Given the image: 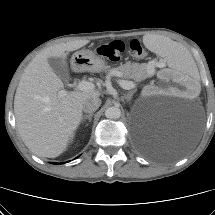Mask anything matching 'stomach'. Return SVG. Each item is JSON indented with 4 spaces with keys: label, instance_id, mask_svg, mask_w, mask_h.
<instances>
[{
    "label": "stomach",
    "instance_id": "0dacf381",
    "mask_svg": "<svg viewBox=\"0 0 215 215\" xmlns=\"http://www.w3.org/2000/svg\"><path fill=\"white\" fill-rule=\"evenodd\" d=\"M71 63L73 68L81 71L102 72L109 69V66L102 57L88 49L75 52Z\"/></svg>",
    "mask_w": 215,
    "mask_h": 215
}]
</instances>
